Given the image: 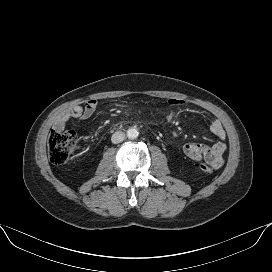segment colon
Wrapping results in <instances>:
<instances>
[{
	"label": "colon",
	"instance_id": "1",
	"mask_svg": "<svg viewBox=\"0 0 272 272\" xmlns=\"http://www.w3.org/2000/svg\"><path fill=\"white\" fill-rule=\"evenodd\" d=\"M77 145V136L73 131L52 130L48 137V153L55 165L65 164L71 157ZM199 169L205 174H211L213 169L207 164H200Z\"/></svg>",
	"mask_w": 272,
	"mask_h": 272
}]
</instances>
